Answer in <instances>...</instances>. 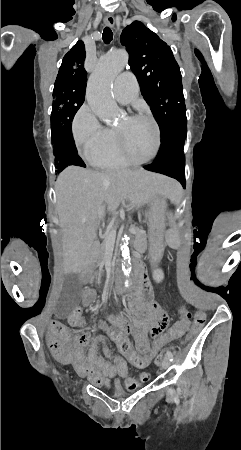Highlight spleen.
Instances as JSON below:
<instances>
[{
    "mask_svg": "<svg viewBox=\"0 0 241 450\" xmlns=\"http://www.w3.org/2000/svg\"><path fill=\"white\" fill-rule=\"evenodd\" d=\"M171 226L172 227H169L167 229V233H166L167 240L166 241L169 244V247L171 250H178L180 247V244H179L180 239L178 238V236H179L178 234L181 231L179 229L176 231V229L174 228L176 225L174 223Z\"/></svg>",
    "mask_w": 241,
    "mask_h": 450,
    "instance_id": "3e777b00",
    "label": "spleen"
}]
</instances>
